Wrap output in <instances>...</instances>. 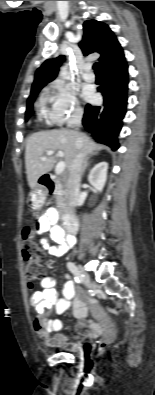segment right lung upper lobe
Listing matches in <instances>:
<instances>
[{"instance_id": "obj_1", "label": "right lung upper lobe", "mask_w": 155, "mask_h": 395, "mask_svg": "<svg viewBox=\"0 0 155 395\" xmlns=\"http://www.w3.org/2000/svg\"><path fill=\"white\" fill-rule=\"evenodd\" d=\"M79 47L85 56L94 52L99 53L101 56L98 64L102 70L125 61L124 52L114 33L108 25L96 20H88L83 23V39L79 43ZM64 60V56L60 55L46 60L37 69L31 96L57 76L59 67Z\"/></svg>"}]
</instances>
